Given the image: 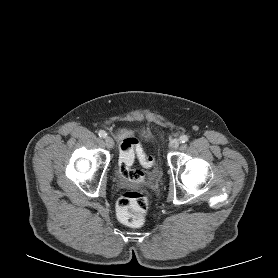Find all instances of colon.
Returning a JSON list of instances; mask_svg holds the SVG:
<instances>
[{
	"label": "colon",
	"instance_id": "5ec220e1",
	"mask_svg": "<svg viewBox=\"0 0 278 278\" xmlns=\"http://www.w3.org/2000/svg\"><path fill=\"white\" fill-rule=\"evenodd\" d=\"M135 155L140 162L150 167L155 159L145 155L135 138L126 139L120 145L119 170L124 179L133 183H142L145 174L132 168ZM150 204L149 193L145 189L129 190L120 195L116 202L117 216L128 226L140 227L143 225Z\"/></svg>",
	"mask_w": 278,
	"mask_h": 278
}]
</instances>
